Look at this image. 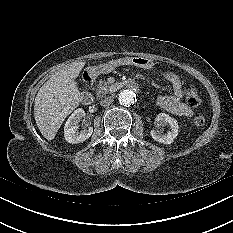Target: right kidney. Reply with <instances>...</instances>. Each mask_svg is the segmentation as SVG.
Returning a JSON list of instances; mask_svg holds the SVG:
<instances>
[{"instance_id":"right-kidney-1","label":"right kidney","mask_w":233,"mask_h":233,"mask_svg":"<svg viewBox=\"0 0 233 233\" xmlns=\"http://www.w3.org/2000/svg\"><path fill=\"white\" fill-rule=\"evenodd\" d=\"M84 115V110L82 108H78L66 121L64 126V137L67 142L72 144L84 142L92 135L93 127L84 128L81 131H78L77 125Z\"/></svg>"}]
</instances>
